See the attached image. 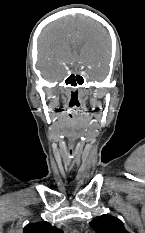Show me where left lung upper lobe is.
Instances as JSON below:
<instances>
[{"label": "left lung upper lobe", "mask_w": 145, "mask_h": 233, "mask_svg": "<svg viewBox=\"0 0 145 233\" xmlns=\"http://www.w3.org/2000/svg\"><path fill=\"white\" fill-rule=\"evenodd\" d=\"M90 226L96 233H128L124 228L123 222L110 215H101L95 217Z\"/></svg>", "instance_id": "obj_1"}]
</instances>
